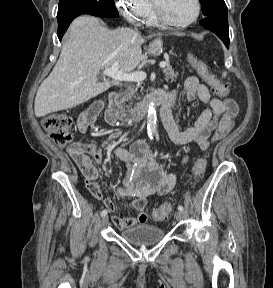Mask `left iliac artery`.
<instances>
[{"instance_id": "left-iliac-artery-1", "label": "left iliac artery", "mask_w": 273, "mask_h": 288, "mask_svg": "<svg viewBox=\"0 0 273 288\" xmlns=\"http://www.w3.org/2000/svg\"><path fill=\"white\" fill-rule=\"evenodd\" d=\"M183 209H184V208H183V206H182V205H179V206H178V210H179V211H181V212H182V211H183Z\"/></svg>"}]
</instances>
